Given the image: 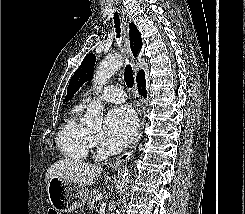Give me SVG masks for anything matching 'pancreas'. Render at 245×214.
Masks as SVG:
<instances>
[{
	"mask_svg": "<svg viewBox=\"0 0 245 214\" xmlns=\"http://www.w3.org/2000/svg\"><path fill=\"white\" fill-rule=\"evenodd\" d=\"M99 194H101V192L98 191V190H96V189H93V190L90 192V194H89V196H88V202H87V205H88L91 209L94 208V205H95V203L97 202V196H98Z\"/></svg>",
	"mask_w": 245,
	"mask_h": 214,
	"instance_id": "obj_1",
	"label": "pancreas"
}]
</instances>
